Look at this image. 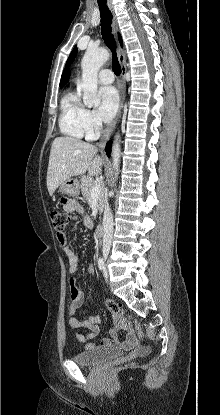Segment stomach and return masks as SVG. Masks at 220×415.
Listing matches in <instances>:
<instances>
[{
  "label": "stomach",
  "instance_id": "obj_1",
  "mask_svg": "<svg viewBox=\"0 0 220 415\" xmlns=\"http://www.w3.org/2000/svg\"><path fill=\"white\" fill-rule=\"evenodd\" d=\"M60 191L68 196H78L80 194L79 180L77 178H69L60 185Z\"/></svg>",
  "mask_w": 220,
  "mask_h": 415
}]
</instances>
